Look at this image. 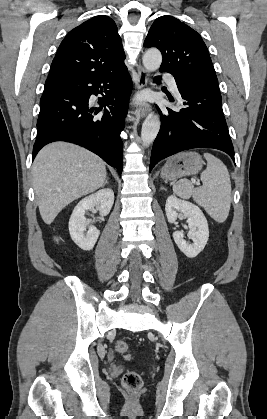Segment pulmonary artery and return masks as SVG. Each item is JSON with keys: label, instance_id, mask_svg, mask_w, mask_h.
I'll return each instance as SVG.
<instances>
[{"label": "pulmonary artery", "instance_id": "pulmonary-artery-1", "mask_svg": "<svg viewBox=\"0 0 267 419\" xmlns=\"http://www.w3.org/2000/svg\"><path fill=\"white\" fill-rule=\"evenodd\" d=\"M163 77H164L165 81L168 83L170 89L176 95H178L179 94V91H178V87H177V84H176V81H175L174 77L172 75H170V74H164Z\"/></svg>", "mask_w": 267, "mask_h": 419}]
</instances>
